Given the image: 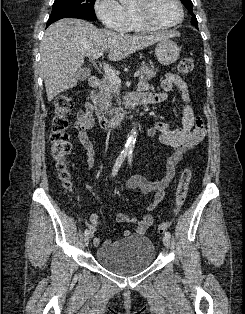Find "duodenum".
Instances as JSON below:
<instances>
[{"label": "duodenum", "instance_id": "duodenum-1", "mask_svg": "<svg viewBox=\"0 0 245 314\" xmlns=\"http://www.w3.org/2000/svg\"><path fill=\"white\" fill-rule=\"evenodd\" d=\"M101 80L99 76L92 75L89 78L88 84L89 88L86 92V100H87V107L89 111L93 114L96 113L99 119V124L104 131H112L119 127H121L131 109L140 104L146 97L142 93H132L125 96L122 100L119 112L112 118L104 117L99 113L98 108L96 107L95 103L92 100V96L90 91L92 89H96L100 86Z\"/></svg>", "mask_w": 245, "mask_h": 314}]
</instances>
